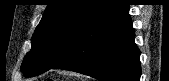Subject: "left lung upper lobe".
I'll return each mask as SVG.
<instances>
[{"label":"left lung upper lobe","mask_w":169,"mask_h":81,"mask_svg":"<svg viewBox=\"0 0 169 81\" xmlns=\"http://www.w3.org/2000/svg\"><path fill=\"white\" fill-rule=\"evenodd\" d=\"M117 0H52L31 39V50L25 55L21 71L25 77L50 70L92 21Z\"/></svg>","instance_id":"obj_1"}]
</instances>
